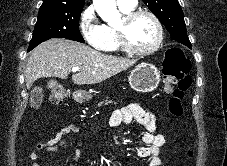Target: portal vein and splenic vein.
Segmentation results:
<instances>
[{
    "label": "portal vein and splenic vein",
    "instance_id": "obj_1",
    "mask_svg": "<svg viewBox=\"0 0 227 166\" xmlns=\"http://www.w3.org/2000/svg\"><path fill=\"white\" fill-rule=\"evenodd\" d=\"M77 71H79V68L78 67H73L72 68V72H77Z\"/></svg>",
    "mask_w": 227,
    "mask_h": 166
}]
</instances>
